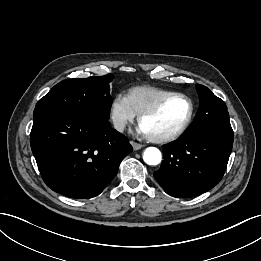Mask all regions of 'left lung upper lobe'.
I'll use <instances>...</instances> for the list:
<instances>
[{"mask_svg": "<svg viewBox=\"0 0 261 261\" xmlns=\"http://www.w3.org/2000/svg\"><path fill=\"white\" fill-rule=\"evenodd\" d=\"M196 88L200 99L199 109L193 123L183 135L231 128L229 113L224 101L203 85L198 84Z\"/></svg>", "mask_w": 261, "mask_h": 261, "instance_id": "1", "label": "left lung upper lobe"}]
</instances>
